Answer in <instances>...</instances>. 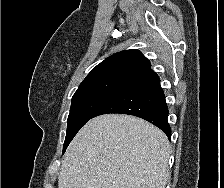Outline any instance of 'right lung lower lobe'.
<instances>
[{
	"label": "right lung lower lobe",
	"instance_id": "1",
	"mask_svg": "<svg viewBox=\"0 0 224 188\" xmlns=\"http://www.w3.org/2000/svg\"><path fill=\"white\" fill-rule=\"evenodd\" d=\"M121 113L143 118L160 128L170 139L168 108L158 75L148 68L104 103L92 116Z\"/></svg>",
	"mask_w": 224,
	"mask_h": 188
}]
</instances>
